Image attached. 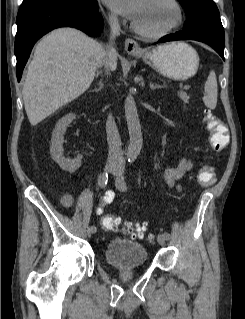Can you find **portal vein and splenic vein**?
<instances>
[{"mask_svg": "<svg viewBox=\"0 0 245 319\" xmlns=\"http://www.w3.org/2000/svg\"><path fill=\"white\" fill-rule=\"evenodd\" d=\"M189 88H190L189 85H185V86L183 87V89H185V90H187V89H189Z\"/></svg>", "mask_w": 245, "mask_h": 319, "instance_id": "1", "label": "portal vein and splenic vein"}]
</instances>
